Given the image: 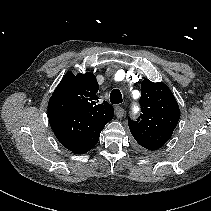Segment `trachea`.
I'll return each instance as SVG.
<instances>
[{
  "label": "trachea",
  "mask_w": 211,
  "mask_h": 211,
  "mask_svg": "<svg viewBox=\"0 0 211 211\" xmlns=\"http://www.w3.org/2000/svg\"><path fill=\"white\" fill-rule=\"evenodd\" d=\"M110 101L113 104H119L122 103L123 98H122V94L118 89H114L111 91L110 93Z\"/></svg>",
  "instance_id": "trachea-1"
}]
</instances>
